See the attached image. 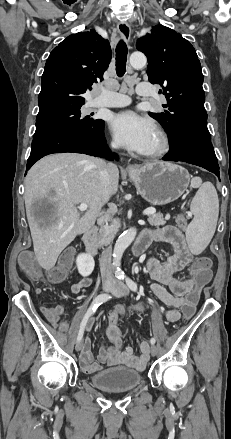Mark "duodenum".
<instances>
[{
	"instance_id": "obj_1",
	"label": "duodenum",
	"mask_w": 231,
	"mask_h": 439,
	"mask_svg": "<svg viewBox=\"0 0 231 439\" xmlns=\"http://www.w3.org/2000/svg\"><path fill=\"white\" fill-rule=\"evenodd\" d=\"M83 243L86 249V252L90 256H95L98 252V245H97V228L96 226L89 227L85 233L83 234ZM147 241L144 238L139 237L132 248L133 254L138 256L142 254L145 249L147 248Z\"/></svg>"
}]
</instances>
